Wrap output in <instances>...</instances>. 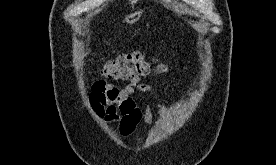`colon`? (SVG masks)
Masks as SVG:
<instances>
[{"label": "colon", "mask_w": 276, "mask_h": 165, "mask_svg": "<svg viewBox=\"0 0 276 165\" xmlns=\"http://www.w3.org/2000/svg\"><path fill=\"white\" fill-rule=\"evenodd\" d=\"M152 70V61L141 51H133L102 62L99 72L114 80H132L146 76Z\"/></svg>", "instance_id": "1"}]
</instances>
